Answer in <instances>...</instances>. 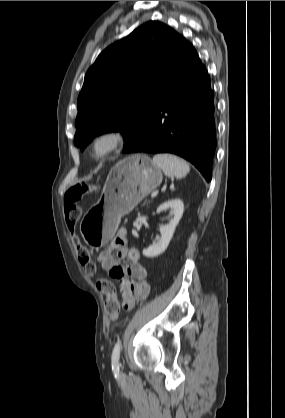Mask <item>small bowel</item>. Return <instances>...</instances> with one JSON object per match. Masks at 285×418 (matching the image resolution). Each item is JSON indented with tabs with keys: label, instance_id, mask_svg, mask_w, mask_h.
Listing matches in <instances>:
<instances>
[{
	"label": "small bowel",
	"instance_id": "1",
	"mask_svg": "<svg viewBox=\"0 0 285 418\" xmlns=\"http://www.w3.org/2000/svg\"><path fill=\"white\" fill-rule=\"evenodd\" d=\"M125 241V232H118L110 247L98 255L102 269L117 281V289L122 294V307L127 302L146 299L151 289L147 281V270L139 262V251L126 248ZM114 250L119 259H128L131 265H120L112 254Z\"/></svg>",
	"mask_w": 285,
	"mask_h": 418
}]
</instances>
